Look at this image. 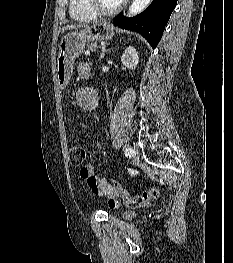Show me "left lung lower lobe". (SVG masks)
<instances>
[{"label":"left lung lower lobe","instance_id":"0a47b994","mask_svg":"<svg viewBox=\"0 0 233 263\" xmlns=\"http://www.w3.org/2000/svg\"><path fill=\"white\" fill-rule=\"evenodd\" d=\"M176 4L177 0H153L141 14L127 18L121 13L113 23L122 29L139 32L155 48Z\"/></svg>","mask_w":233,"mask_h":263}]
</instances>
